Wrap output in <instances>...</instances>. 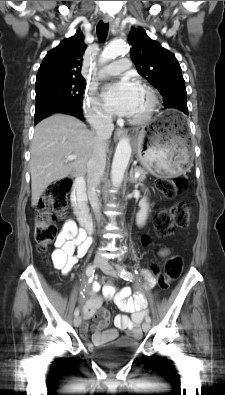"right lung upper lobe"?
Returning a JSON list of instances; mask_svg holds the SVG:
<instances>
[{
  "instance_id": "1",
  "label": "right lung upper lobe",
  "mask_w": 225,
  "mask_h": 395,
  "mask_svg": "<svg viewBox=\"0 0 225 395\" xmlns=\"http://www.w3.org/2000/svg\"><path fill=\"white\" fill-rule=\"evenodd\" d=\"M87 45L80 30L49 51L38 70L36 85L60 80H84L82 57Z\"/></svg>"
}]
</instances>
